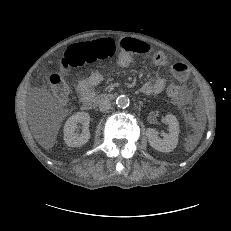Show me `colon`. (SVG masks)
Segmentation results:
<instances>
[{"instance_id": "obj_1", "label": "colon", "mask_w": 231, "mask_h": 231, "mask_svg": "<svg viewBox=\"0 0 231 231\" xmlns=\"http://www.w3.org/2000/svg\"><path fill=\"white\" fill-rule=\"evenodd\" d=\"M119 49V44L113 39H102L95 41L85 47H74L70 50L68 58L60 63L62 69L69 66H77L84 62L85 59H107L113 57ZM49 82L53 94L60 99H65L68 94V86L64 78L59 74H51ZM169 95L176 96L179 89L176 85L171 84L167 89Z\"/></svg>"}]
</instances>
